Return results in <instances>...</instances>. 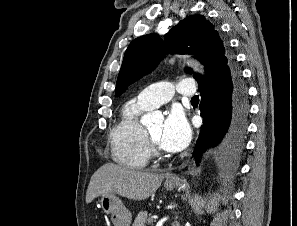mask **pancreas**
<instances>
[{"label":"pancreas","instance_id":"obj_1","mask_svg":"<svg viewBox=\"0 0 297 226\" xmlns=\"http://www.w3.org/2000/svg\"><path fill=\"white\" fill-rule=\"evenodd\" d=\"M153 222V219L148 217V213L146 211H140L132 226H146V224H151Z\"/></svg>","mask_w":297,"mask_h":226}]
</instances>
